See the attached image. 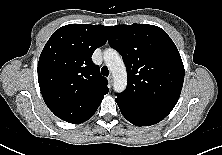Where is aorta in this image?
<instances>
[{
	"instance_id": "1",
	"label": "aorta",
	"mask_w": 222,
	"mask_h": 155,
	"mask_svg": "<svg viewBox=\"0 0 222 155\" xmlns=\"http://www.w3.org/2000/svg\"><path fill=\"white\" fill-rule=\"evenodd\" d=\"M104 60L113 75L114 90L116 92L124 91L127 86V71L121 56L116 50L110 48L104 51Z\"/></svg>"
}]
</instances>
